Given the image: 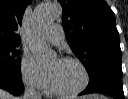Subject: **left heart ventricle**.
<instances>
[{
	"label": "left heart ventricle",
	"mask_w": 128,
	"mask_h": 99,
	"mask_svg": "<svg viewBox=\"0 0 128 99\" xmlns=\"http://www.w3.org/2000/svg\"><path fill=\"white\" fill-rule=\"evenodd\" d=\"M48 73L56 86L62 91H73L79 88L84 80L83 72L74 62H63L56 59L48 68Z\"/></svg>",
	"instance_id": "left-heart-ventricle-1"
}]
</instances>
